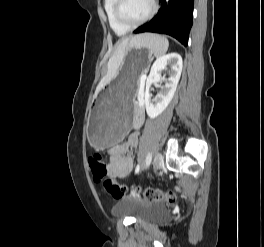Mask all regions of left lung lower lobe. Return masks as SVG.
I'll return each instance as SVG.
<instances>
[{
    "label": "left lung lower lobe",
    "mask_w": 264,
    "mask_h": 247,
    "mask_svg": "<svg viewBox=\"0 0 264 247\" xmlns=\"http://www.w3.org/2000/svg\"><path fill=\"white\" fill-rule=\"evenodd\" d=\"M159 3L160 9L156 16L137 28L134 33L167 34L187 46L189 32L193 25L194 0H159Z\"/></svg>",
    "instance_id": "obj_1"
}]
</instances>
